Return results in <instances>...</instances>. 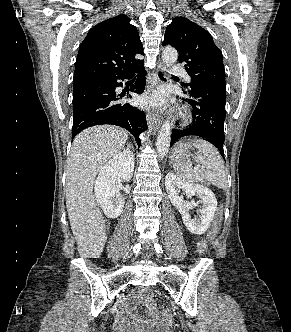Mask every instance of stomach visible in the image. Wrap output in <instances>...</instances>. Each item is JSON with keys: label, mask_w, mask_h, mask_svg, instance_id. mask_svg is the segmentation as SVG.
I'll list each match as a JSON object with an SVG mask.
<instances>
[{"label": "stomach", "mask_w": 291, "mask_h": 332, "mask_svg": "<svg viewBox=\"0 0 291 332\" xmlns=\"http://www.w3.org/2000/svg\"><path fill=\"white\" fill-rule=\"evenodd\" d=\"M192 149L191 144L187 142H178L171 153V161L174 164H183L189 162L192 154L190 150Z\"/></svg>", "instance_id": "obj_1"}]
</instances>
